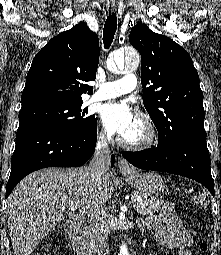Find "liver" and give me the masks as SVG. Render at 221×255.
I'll return each instance as SVG.
<instances>
[{
	"instance_id": "6515ba94",
	"label": "liver",
	"mask_w": 221,
	"mask_h": 255,
	"mask_svg": "<svg viewBox=\"0 0 221 255\" xmlns=\"http://www.w3.org/2000/svg\"><path fill=\"white\" fill-rule=\"evenodd\" d=\"M110 174L92 179L88 166L47 168L26 176L7 200L8 226L14 255H31L68 212L84 214L112 197Z\"/></svg>"
}]
</instances>
